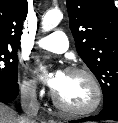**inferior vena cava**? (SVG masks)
Segmentation results:
<instances>
[{
	"instance_id": "inferior-vena-cava-1",
	"label": "inferior vena cava",
	"mask_w": 118,
	"mask_h": 123,
	"mask_svg": "<svg viewBox=\"0 0 118 123\" xmlns=\"http://www.w3.org/2000/svg\"><path fill=\"white\" fill-rule=\"evenodd\" d=\"M21 106L24 115L19 117L18 123H34L33 117L37 115L39 110L36 86L34 84L21 87Z\"/></svg>"
}]
</instances>
